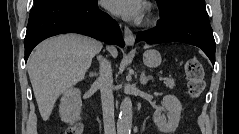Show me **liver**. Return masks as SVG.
Segmentation results:
<instances>
[{"label": "liver", "mask_w": 239, "mask_h": 134, "mask_svg": "<svg viewBox=\"0 0 239 134\" xmlns=\"http://www.w3.org/2000/svg\"><path fill=\"white\" fill-rule=\"evenodd\" d=\"M101 42L78 34L52 37L39 44L30 55L27 68L40 115L48 120L57 98L82 81ZM116 58L117 49L109 48Z\"/></svg>", "instance_id": "6515ba94"}]
</instances>
